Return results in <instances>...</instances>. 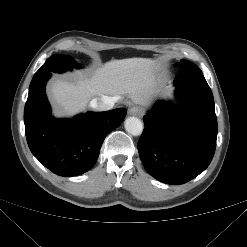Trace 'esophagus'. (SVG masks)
<instances>
[{
    "instance_id": "34e87169",
    "label": "esophagus",
    "mask_w": 247,
    "mask_h": 247,
    "mask_svg": "<svg viewBox=\"0 0 247 247\" xmlns=\"http://www.w3.org/2000/svg\"><path fill=\"white\" fill-rule=\"evenodd\" d=\"M128 114L129 115H140L142 114V109L140 107L133 106L128 109Z\"/></svg>"
}]
</instances>
